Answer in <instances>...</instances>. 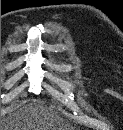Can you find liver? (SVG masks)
Returning <instances> with one entry per match:
<instances>
[{
  "instance_id": "1",
  "label": "liver",
  "mask_w": 123,
  "mask_h": 130,
  "mask_svg": "<svg viewBox=\"0 0 123 130\" xmlns=\"http://www.w3.org/2000/svg\"><path fill=\"white\" fill-rule=\"evenodd\" d=\"M16 108L1 120L2 130H67L57 113L40 103L22 101Z\"/></svg>"
}]
</instances>
